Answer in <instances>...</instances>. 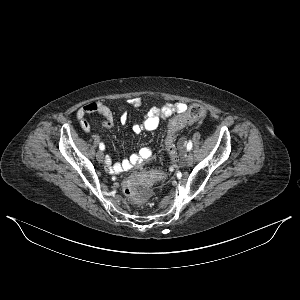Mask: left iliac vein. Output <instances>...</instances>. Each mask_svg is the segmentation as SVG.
<instances>
[{
  "instance_id": "1",
  "label": "left iliac vein",
  "mask_w": 300,
  "mask_h": 300,
  "mask_svg": "<svg viewBox=\"0 0 300 300\" xmlns=\"http://www.w3.org/2000/svg\"><path fill=\"white\" fill-rule=\"evenodd\" d=\"M185 158H186V165L190 167L193 163V155L191 153H186Z\"/></svg>"
}]
</instances>
